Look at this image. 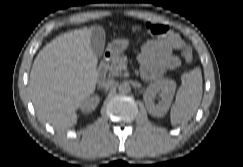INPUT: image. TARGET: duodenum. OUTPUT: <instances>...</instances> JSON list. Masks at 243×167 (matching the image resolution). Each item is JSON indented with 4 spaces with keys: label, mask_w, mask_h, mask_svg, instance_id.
<instances>
[{
    "label": "duodenum",
    "mask_w": 243,
    "mask_h": 167,
    "mask_svg": "<svg viewBox=\"0 0 243 167\" xmlns=\"http://www.w3.org/2000/svg\"><path fill=\"white\" fill-rule=\"evenodd\" d=\"M112 58V53L111 52H106L103 57V61L99 65L97 69V76L98 79L103 80L105 77V72H106V65L107 62Z\"/></svg>",
    "instance_id": "duodenum-1"
}]
</instances>
